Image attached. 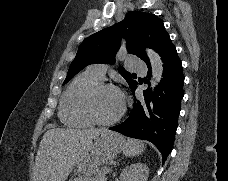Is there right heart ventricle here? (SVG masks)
I'll use <instances>...</instances> for the list:
<instances>
[{
    "label": "right heart ventricle",
    "instance_id": "e07e8e85",
    "mask_svg": "<svg viewBox=\"0 0 228 181\" xmlns=\"http://www.w3.org/2000/svg\"><path fill=\"white\" fill-rule=\"evenodd\" d=\"M101 79L85 73L77 75L67 88L62 100L61 119L71 125H90L92 120L85 111V103L91 88Z\"/></svg>",
    "mask_w": 228,
    "mask_h": 181
}]
</instances>
